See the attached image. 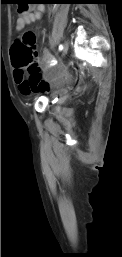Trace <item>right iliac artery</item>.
Returning <instances> with one entry per match:
<instances>
[{
  "label": "right iliac artery",
  "mask_w": 122,
  "mask_h": 257,
  "mask_svg": "<svg viewBox=\"0 0 122 257\" xmlns=\"http://www.w3.org/2000/svg\"><path fill=\"white\" fill-rule=\"evenodd\" d=\"M59 50H60V51L63 50V45H60V46H59Z\"/></svg>",
  "instance_id": "1"
}]
</instances>
